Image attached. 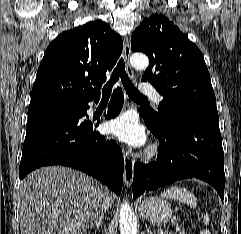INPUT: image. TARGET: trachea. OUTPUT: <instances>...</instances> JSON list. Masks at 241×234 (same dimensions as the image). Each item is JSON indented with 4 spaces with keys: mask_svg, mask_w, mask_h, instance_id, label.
I'll return each instance as SVG.
<instances>
[{
    "mask_svg": "<svg viewBox=\"0 0 241 234\" xmlns=\"http://www.w3.org/2000/svg\"><path fill=\"white\" fill-rule=\"evenodd\" d=\"M119 77L121 78L122 84H123L127 94L129 95V97H131L132 99H136V100L146 99L145 96L140 94L135 89L134 85L132 84L128 75L126 74L125 64H124L123 58H121L119 60L116 68L114 69V71L112 73V76H111L110 80L104 86V89H103V96L104 97H108L110 95V92L112 90V86L114 85L115 82H117L119 80Z\"/></svg>",
    "mask_w": 241,
    "mask_h": 234,
    "instance_id": "trachea-1",
    "label": "trachea"
}]
</instances>
